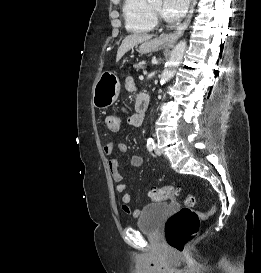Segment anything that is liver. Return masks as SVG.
<instances>
[{"label":"liver","instance_id":"1","mask_svg":"<svg viewBox=\"0 0 261 273\" xmlns=\"http://www.w3.org/2000/svg\"><path fill=\"white\" fill-rule=\"evenodd\" d=\"M152 37L153 35L146 33H134L132 35H128L127 37H125L120 47L118 48L116 56L117 61H119L123 57V55L131 48L137 46L142 42L150 40Z\"/></svg>","mask_w":261,"mask_h":273}]
</instances>
